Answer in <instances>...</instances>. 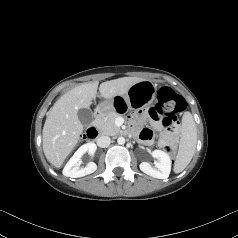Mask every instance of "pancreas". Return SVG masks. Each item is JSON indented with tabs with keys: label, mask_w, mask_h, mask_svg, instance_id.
Wrapping results in <instances>:
<instances>
[{
	"label": "pancreas",
	"mask_w": 238,
	"mask_h": 238,
	"mask_svg": "<svg viewBox=\"0 0 238 238\" xmlns=\"http://www.w3.org/2000/svg\"><path fill=\"white\" fill-rule=\"evenodd\" d=\"M118 117L116 112H110L103 118L95 120V127L103 134L116 135L120 132V128L116 126L115 120Z\"/></svg>",
	"instance_id": "pancreas-1"
}]
</instances>
